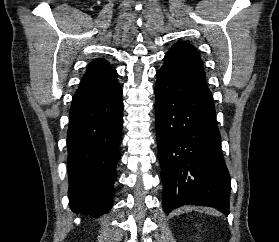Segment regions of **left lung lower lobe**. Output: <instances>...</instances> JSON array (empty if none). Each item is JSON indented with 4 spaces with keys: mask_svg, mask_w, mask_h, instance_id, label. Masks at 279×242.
I'll return each mask as SVG.
<instances>
[{
    "mask_svg": "<svg viewBox=\"0 0 279 242\" xmlns=\"http://www.w3.org/2000/svg\"><path fill=\"white\" fill-rule=\"evenodd\" d=\"M155 95L164 212L193 204L228 215L230 177L205 76L167 53Z\"/></svg>",
    "mask_w": 279,
    "mask_h": 242,
    "instance_id": "obj_1",
    "label": "left lung lower lobe"
}]
</instances>
